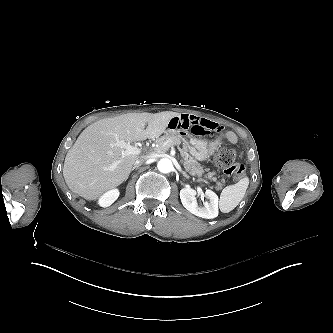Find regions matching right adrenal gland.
<instances>
[{
    "label": "right adrenal gland",
    "instance_id": "2a0ac1e0",
    "mask_svg": "<svg viewBox=\"0 0 333 333\" xmlns=\"http://www.w3.org/2000/svg\"><path fill=\"white\" fill-rule=\"evenodd\" d=\"M137 167L136 166H134L132 169H131V171H133L134 169H136Z\"/></svg>",
    "mask_w": 333,
    "mask_h": 333
}]
</instances>
